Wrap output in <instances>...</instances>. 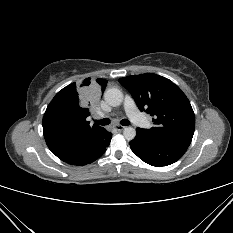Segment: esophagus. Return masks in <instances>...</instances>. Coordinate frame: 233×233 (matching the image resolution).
Returning a JSON list of instances; mask_svg holds the SVG:
<instances>
[{
  "label": "esophagus",
  "instance_id": "1",
  "mask_svg": "<svg viewBox=\"0 0 233 233\" xmlns=\"http://www.w3.org/2000/svg\"><path fill=\"white\" fill-rule=\"evenodd\" d=\"M114 129L117 130V131H122V130L125 129V127L122 126V125H115V126H114Z\"/></svg>",
  "mask_w": 233,
  "mask_h": 233
}]
</instances>
